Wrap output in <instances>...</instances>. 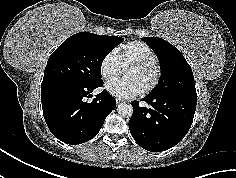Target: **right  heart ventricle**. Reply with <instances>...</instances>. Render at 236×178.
<instances>
[{
	"mask_svg": "<svg viewBox=\"0 0 236 178\" xmlns=\"http://www.w3.org/2000/svg\"><path fill=\"white\" fill-rule=\"evenodd\" d=\"M121 68H125L134 61H157V55L151 47L144 42L130 41L115 51Z\"/></svg>",
	"mask_w": 236,
	"mask_h": 178,
	"instance_id": "obj_1",
	"label": "right heart ventricle"
}]
</instances>
